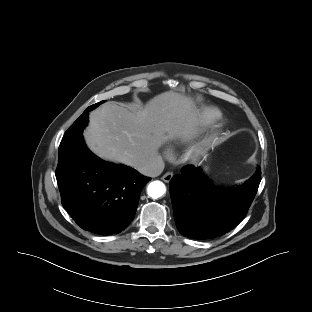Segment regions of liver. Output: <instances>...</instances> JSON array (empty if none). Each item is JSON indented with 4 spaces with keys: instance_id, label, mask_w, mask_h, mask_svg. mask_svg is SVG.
<instances>
[{
    "instance_id": "obj_1",
    "label": "liver",
    "mask_w": 312,
    "mask_h": 312,
    "mask_svg": "<svg viewBox=\"0 0 312 312\" xmlns=\"http://www.w3.org/2000/svg\"><path fill=\"white\" fill-rule=\"evenodd\" d=\"M196 120L194 101L168 91L137 112L106 102L90 113L83 135L88 148L101 159L136 168L157 156L165 142L192 133Z\"/></svg>"
}]
</instances>
